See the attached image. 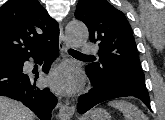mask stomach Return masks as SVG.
<instances>
[{
  "mask_svg": "<svg viewBox=\"0 0 165 120\" xmlns=\"http://www.w3.org/2000/svg\"><path fill=\"white\" fill-rule=\"evenodd\" d=\"M83 120H111V116L105 109L95 108L89 111Z\"/></svg>",
  "mask_w": 165,
  "mask_h": 120,
  "instance_id": "stomach-1",
  "label": "stomach"
}]
</instances>
